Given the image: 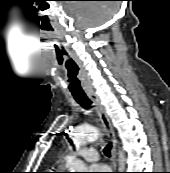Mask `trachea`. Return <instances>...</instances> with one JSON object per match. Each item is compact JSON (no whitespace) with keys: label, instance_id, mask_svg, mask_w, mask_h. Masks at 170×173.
Wrapping results in <instances>:
<instances>
[{"label":"trachea","instance_id":"obj_1","mask_svg":"<svg viewBox=\"0 0 170 173\" xmlns=\"http://www.w3.org/2000/svg\"><path fill=\"white\" fill-rule=\"evenodd\" d=\"M73 97L78 104H80L82 107H84L86 109L89 108L90 105L92 104L91 100L84 93L73 94ZM103 151L106 156H110L111 155V145L110 144L107 145Z\"/></svg>","mask_w":170,"mask_h":173}]
</instances>
